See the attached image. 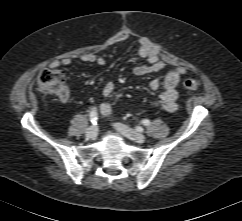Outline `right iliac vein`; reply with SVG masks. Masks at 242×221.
<instances>
[{"label":"right iliac vein","mask_w":242,"mask_h":221,"mask_svg":"<svg viewBox=\"0 0 242 221\" xmlns=\"http://www.w3.org/2000/svg\"><path fill=\"white\" fill-rule=\"evenodd\" d=\"M98 135V130L96 126H91L86 131V136L90 139H95Z\"/></svg>","instance_id":"obj_1"}]
</instances>
